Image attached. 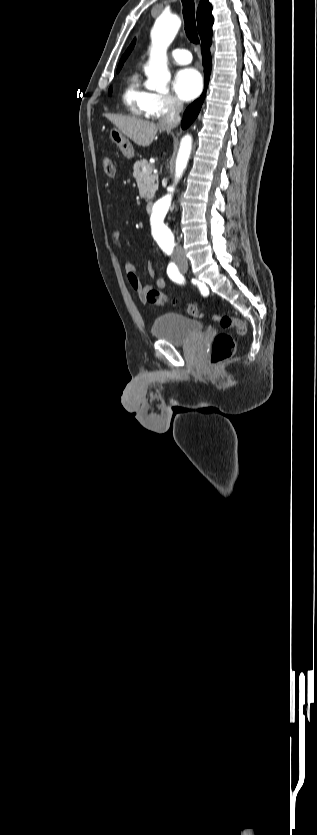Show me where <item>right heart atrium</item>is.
Masks as SVG:
<instances>
[{"label": "right heart atrium", "instance_id": "1", "mask_svg": "<svg viewBox=\"0 0 317 835\" xmlns=\"http://www.w3.org/2000/svg\"><path fill=\"white\" fill-rule=\"evenodd\" d=\"M181 108L182 103L174 95L152 93L147 106V116L158 119L178 113Z\"/></svg>", "mask_w": 317, "mask_h": 835}]
</instances>
